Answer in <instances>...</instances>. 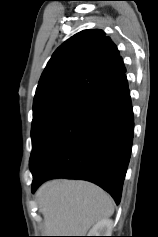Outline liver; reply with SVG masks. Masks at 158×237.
I'll list each match as a JSON object with an SVG mask.
<instances>
[{
    "label": "liver",
    "mask_w": 158,
    "mask_h": 237,
    "mask_svg": "<svg viewBox=\"0 0 158 237\" xmlns=\"http://www.w3.org/2000/svg\"><path fill=\"white\" fill-rule=\"evenodd\" d=\"M46 236H85L114 212L112 198L98 186L75 180H51L37 191Z\"/></svg>",
    "instance_id": "obj_1"
}]
</instances>
